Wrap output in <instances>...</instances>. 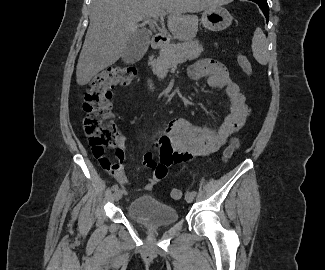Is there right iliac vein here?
I'll return each instance as SVG.
<instances>
[{
    "mask_svg": "<svg viewBox=\"0 0 325 270\" xmlns=\"http://www.w3.org/2000/svg\"><path fill=\"white\" fill-rule=\"evenodd\" d=\"M122 191L120 189L116 190L113 194V200L118 201L122 198Z\"/></svg>",
    "mask_w": 325,
    "mask_h": 270,
    "instance_id": "63e3f726",
    "label": "right iliac vein"
}]
</instances>
